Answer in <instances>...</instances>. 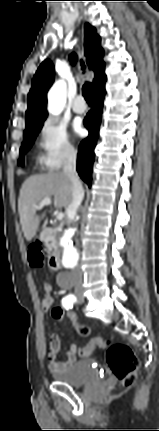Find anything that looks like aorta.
I'll use <instances>...</instances> for the list:
<instances>
[{
	"mask_svg": "<svg viewBox=\"0 0 159 431\" xmlns=\"http://www.w3.org/2000/svg\"><path fill=\"white\" fill-rule=\"evenodd\" d=\"M66 103V83L63 80H58L54 83L48 93V110L54 115H58L63 110ZM75 231L69 228L62 235V263L68 268H74L79 262V253L71 244Z\"/></svg>",
	"mask_w": 159,
	"mask_h": 431,
	"instance_id": "aorta-1",
	"label": "aorta"
}]
</instances>
